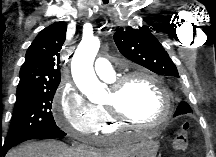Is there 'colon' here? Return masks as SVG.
Segmentation results:
<instances>
[{
	"label": "colon",
	"instance_id": "5ec220e1",
	"mask_svg": "<svg viewBox=\"0 0 216 157\" xmlns=\"http://www.w3.org/2000/svg\"><path fill=\"white\" fill-rule=\"evenodd\" d=\"M190 125L187 121L182 122L174 136V149L178 152L187 150L190 142Z\"/></svg>",
	"mask_w": 216,
	"mask_h": 157
}]
</instances>
